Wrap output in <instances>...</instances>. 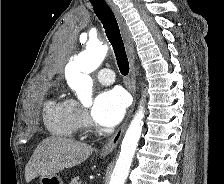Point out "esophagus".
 I'll use <instances>...</instances> for the list:
<instances>
[{
  "instance_id": "34e87169",
  "label": "esophagus",
  "mask_w": 224,
  "mask_h": 184,
  "mask_svg": "<svg viewBox=\"0 0 224 184\" xmlns=\"http://www.w3.org/2000/svg\"><path fill=\"white\" fill-rule=\"evenodd\" d=\"M106 1L116 16V19L118 21V24L122 33L124 44L126 47L128 60H129V66H130L129 90L133 95V103L122 125L115 131V133L111 136L109 141L101 149V152H100L101 155H108L117 147L118 143L121 140V137L124 134L127 124L131 118V115L136 103L135 51H134L133 40H132L129 29L121 16L119 8L112 2V0H106Z\"/></svg>"
}]
</instances>
